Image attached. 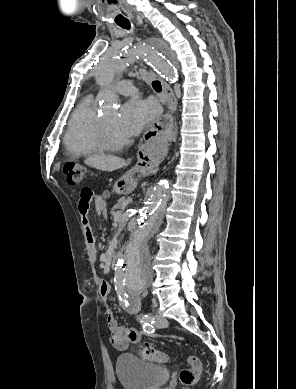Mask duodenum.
<instances>
[{
	"instance_id": "duodenum-1",
	"label": "duodenum",
	"mask_w": 296,
	"mask_h": 389,
	"mask_svg": "<svg viewBox=\"0 0 296 389\" xmlns=\"http://www.w3.org/2000/svg\"><path fill=\"white\" fill-rule=\"evenodd\" d=\"M116 260H117V254L115 253L111 256V260H110V264L112 267H114Z\"/></svg>"
}]
</instances>
